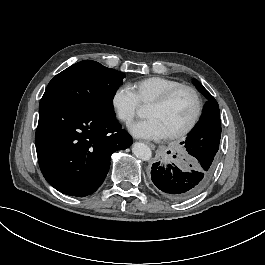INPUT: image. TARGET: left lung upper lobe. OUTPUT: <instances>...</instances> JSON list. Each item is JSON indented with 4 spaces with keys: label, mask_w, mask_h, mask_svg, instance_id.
<instances>
[{
    "label": "left lung upper lobe",
    "mask_w": 265,
    "mask_h": 265,
    "mask_svg": "<svg viewBox=\"0 0 265 265\" xmlns=\"http://www.w3.org/2000/svg\"><path fill=\"white\" fill-rule=\"evenodd\" d=\"M193 83L208 101L204 105L198 123L190 131L186 141L183 143L189 154L195 158L206 156L207 151H211V157H213L218 151L221 135L219 105L198 80L194 79Z\"/></svg>",
    "instance_id": "left-lung-upper-lobe-1"
}]
</instances>
